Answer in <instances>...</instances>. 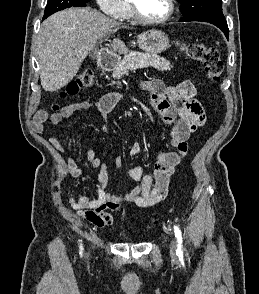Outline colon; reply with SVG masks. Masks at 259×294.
I'll return each mask as SVG.
<instances>
[{"label":"colon","instance_id":"1","mask_svg":"<svg viewBox=\"0 0 259 294\" xmlns=\"http://www.w3.org/2000/svg\"><path fill=\"white\" fill-rule=\"evenodd\" d=\"M181 49L191 59L200 62L207 76L212 81H218L223 71V62L219 50L214 46H207L200 42L181 43ZM94 74L91 70H84L67 87V95H76L82 89L93 85Z\"/></svg>","mask_w":259,"mask_h":294}]
</instances>
